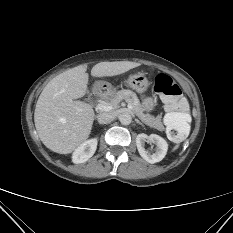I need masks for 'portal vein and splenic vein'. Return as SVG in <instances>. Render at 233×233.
<instances>
[{"mask_svg": "<svg viewBox=\"0 0 233 233\" xmlns=\"http://www.w3.org/2000/svg\"><path fill=\"white\" fill-rule=\"evenodd\" d=\"M113 107H114V103H98L97 104V109L101 111H110L113 109ZM128 108L131 110L133 109L130 103H128Z\"/></svg>", "mask_w": 233, "mask_h": 233, "instance_id": "18ae733b", "label": "portal vein and splenic vein"}]
</instances>
